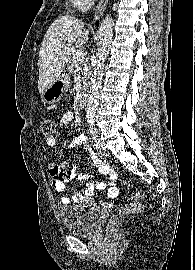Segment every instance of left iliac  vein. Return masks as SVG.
<instances>
[{
    "mask_svg": "<svg viewBox=\"0 0 195 270\" xmlns=\"http://www.w3.org/2000/svg\"><path fill=\"white\" fill-rule=\"evenodd\" d=\"M95 146L101 156H108L109 152L105 148V146L102 144L99 138H96L95 140Z\"/></svg>",
    "mask_w": 195,
    "mask_h": 270,
    "instance_id": "obj_1",
    "label": "left iliac vein"
}]
</instances>
